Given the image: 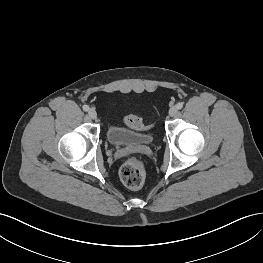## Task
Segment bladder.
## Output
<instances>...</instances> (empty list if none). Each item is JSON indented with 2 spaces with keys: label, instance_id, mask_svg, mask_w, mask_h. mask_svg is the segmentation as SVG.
Returning a JSON list of instances; mask_svg holds the SVG:
<instances>
[{
  "label": "bladder",
  "instance_id": "31cf9c89",
  "mask_svg": "<svg viewBox=\"0 0 263 263\" xmlns=\"http://www.w3.org/2000/svg\"><path fill=\"white\" fill-rule=\"evenodd\" d=\"M108 142L116 147L149 145L153 135L148 131H135L126 126L111 122L106 128Z\"/></svg>",
  "mask_w": 263,
  "mask_h": 263
}]
</instances>
